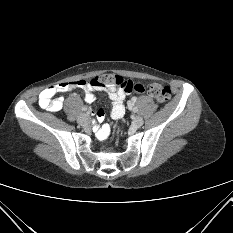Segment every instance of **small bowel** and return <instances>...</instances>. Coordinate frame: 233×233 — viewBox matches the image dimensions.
<instances>
[{"label": "small bowel", "instance_id": "1", "mask_svg": "<svg viewBox=\"0 0 233 233\" xmlns=\"http://www.w3.org/2000/svg\"><path fill=\"white\" fill-rule=\"evenodd\" d=\"M103 77H98V79H90V80H78L72 82L60 83L51 87L44 89L38 98L39 106L48 111H58L62 108L63 105V97L59 96V93L67 92L74 89H79L84 92V99L87 103H92L95 100V91H103L105 95H108L110 100L112 101V109H111V118L120 119L125 114V98L126 92L122 89H117L114 87L108 88L103 83ZM137 102L136 96H131L127 105V112H134V103ZM92 117L97 118L99 122H103L105 120V111L103 109H99L98 111L92 112ZM93 121L92 127L95 128V133L97 134L99 139H105L110 133V126L108 124L99 127V122Z\"/></svg>", "mask_w": 233, "mask_h": 233}]
</instances>
